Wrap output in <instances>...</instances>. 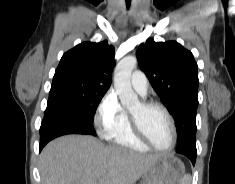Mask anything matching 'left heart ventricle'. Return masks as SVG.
<instances>
[{
	"mask_svg": "<svg viewBox=\"0 0 235 184\" xmlns=\"http://www.w3.org/2000/svg\"><path fill=\"white\" fill-rule=\"evenodd\" d=\"M129 112L139 121L157 147L165 149L170 146L172 139L171 125L163 110L159 108L145 110L139 103Z\"/></svg>",
	"mask_w": 235,
	"mask_h": 184,
	"instance_id": "1",
	"label": "left heart ventricle"
}]
</instances>
